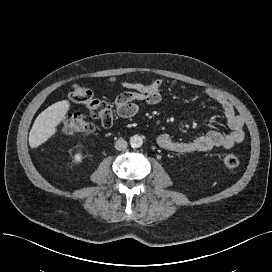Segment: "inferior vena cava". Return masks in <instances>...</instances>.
I'll list each match as a JSON object with an SVG mask.
<instances>
[{
    "label": "inferior vena cava",
    "mask_w": 272,
    "mask_h": 272,
    "mask_svg": "<svg viewBox=\"0 0 272 272\" xmlns=\"http://www.w3.org/2000/svg\"><path fill=\"white\" fill-rule=\"evenodd\" d=\"M115 148L119 151L121 150H125L127 148V142L126 140L124 139H118L116 142H115Z\"/></svg>",
    "instance_id": "602c4592"
}]
</instances>
